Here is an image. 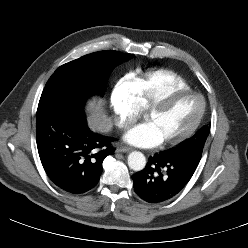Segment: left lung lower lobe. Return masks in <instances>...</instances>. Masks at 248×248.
I'll use <instances>...</instances> for the list:
<instances>
[{
    "label": "left lung lower lobe",
    "instance_id": "1",
    "mask_svg": "<svg viewBox=\"0 0 248 248\" xmlns=\"http://www.w3.org/2000/svg\"><path fill=\"white\" fill-rule=\"evenodd\" d=\"M201 154L160 152L132 176L134 190L146 202L160 203L175 197L191 179Z\"/></svg>",
    "mask_w": 248,
    "mask_h": 248
}]
</instances>
